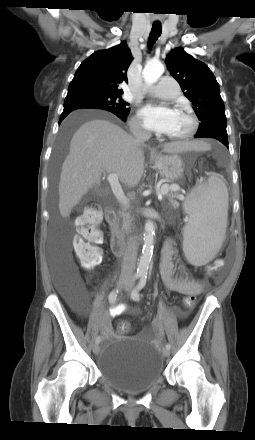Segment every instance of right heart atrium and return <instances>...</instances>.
Instances as JSON below:
<instances>
[{"instance_id":"1","label":"right heart atrium","mask_w":255,"mask_h":440,"mask_svg":"<svg viewBox=\"0 0 255 440\" xmlns=\"http://www.w3.org/2000/svg\"><path fill=\"white\" fill-rule=\"evenodd\" d=\"M130 128L135 133H142L145 131V127H144L142 121L137 116H134L132 118V120L130 122Z\"/></svg>"}]
</instances>
